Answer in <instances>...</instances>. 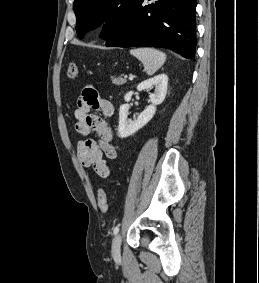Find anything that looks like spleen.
Here are the masks:
<instances>
[{"label":"spleen","instance_id":"obj_1","mask_svg":"<svg viewBox=\"0 0 259 283\" xmlns=\"http://www.w3.org/2000/svg\"><path fill=\"white\" fill-rule=\"evenodd\" d=\"M130 54L139 59L148 75H153L165 62V53L153 48L131 49Z\"/></svg>","mask_w":259,"mask_h":283}]
</instances>
